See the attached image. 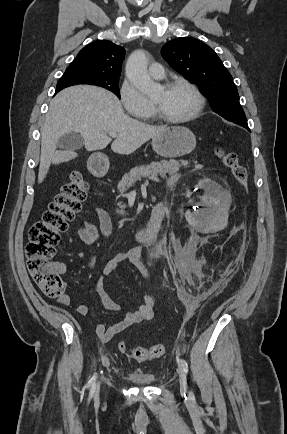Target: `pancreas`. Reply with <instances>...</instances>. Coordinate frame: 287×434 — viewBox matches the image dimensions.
<instances>
[{
    "mask_svg": "<svg viewBox=\"0 0 287 434\" xmlns=\"http://www.w3.org/2000/svg\"><path fill=\"white\" fill-rule=\"evenodd\" d=\"M189 162L182 160L181 162L176 160H162L160 162H152L150 165H143L139 167L133 168L128 174H125L122 178V180L118 183V190L121 193H125L130 187L134 185L136 181L142 180V178H148L150 180H158V177H165L168 173L169 175H172L174 173H177L180 168L188 167ZM195 169L202 168L201 165L197 164L195 162ZM118 206L120 208L117 209V213L120 215H124L126 208V205H122L121 203H118Z\"/></svg>",
    "mask_w": 287,
    "mask_h": 434,
    "instance_id": "cf45deb5",
    "label": "pancreas"
}]
</instances>
